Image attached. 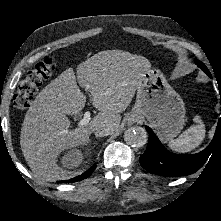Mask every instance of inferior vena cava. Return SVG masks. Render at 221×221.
Here are the masks:
<instances>
[{"instance_id":"602c4592","label":"inferior vena cava","mask_w":221,"mask_h":221,"mask_svg":"<svg viewBox=\"0 0 221 221\" xmlns=\"http://www.w3.org/2000/svg\"><path fill=\"white\" fill-rule=\"evenodd\" d=\"M113 133V129L111 127H97L94 130V134L96 137H104Z\"/></svg>"}]
</instances>
